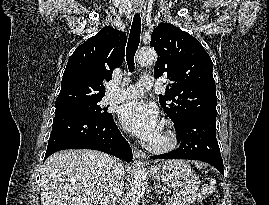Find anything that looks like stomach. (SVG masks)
<instances>
[{
    "label": "stomach",
    "instance_id": "obj_1",
    "mask_svg": "<svg viewBox=\"0 0 269 205\" xmlns=\"http://www.w3.org/2000/svg\"><path fill=\"white\" fill-rule=\"evenodd\" d=\"M150 173L154 179L162 181L179 192L185 204L202 195L199 177L186 161H165L152 166Z\"/></svg>",
    "mask_w": 269,
    "mask_h": 205
}]
</instances>
